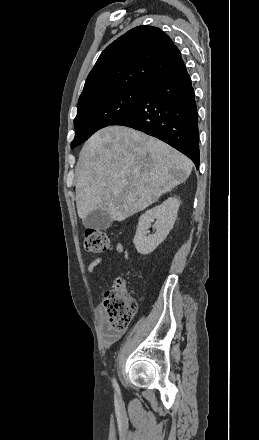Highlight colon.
<instances>
[{
	"label": "colon",
	"instance_id": "obj_1",
	"mask_svg": "<svg viewBox=\"0 0 259 440\" xmlns=\"http://www.w3.org/2000/svg\"><path fill=\"white\" fill-rule=\"evenodd\" d=\"M84 247L89 252L102 253L111 250L112 243L105 232L86 229ZM102 305L108 323L118 330L127 328L137 310L136 302L129 296L127 287L121 279H117L113 287L105 292Z\"/></svg>",
	"mask_w": 259,
	"mask_h": 440
}]
</instances>
